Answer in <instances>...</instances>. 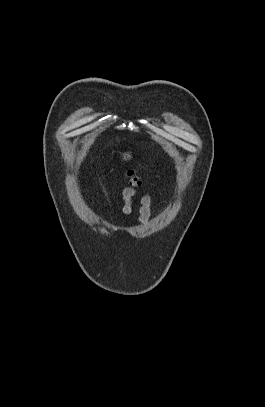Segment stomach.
<instances>
[{"label":"stomach","mask_w":265,"mask_h":407,"mask_svg":"<svg viewBox=\"0 0 265 407\" xmlns=\"http://www.w3.org/2000/svg\"><path fill=\"white\" fill-rule=\"evenodd\" d=\"M131 158H132V156H131L130 153H125V154L123 155V159H124L125 161L130 160Z\"/></svg>","instance_id":"obj_1"}]
</instances>
